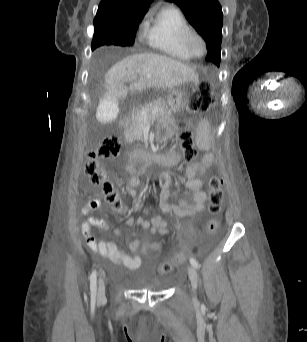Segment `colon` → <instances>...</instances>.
Returning a JSON list of instances; mask_svg holds the SVG:
<instances>
[{"label": "colon", "mask_w": 307, "mask_h": 342, "mask_svg": "<svg viewBox=\"0 0 307 342\" xmlns=\"http://www.w3.org/2000/svg\"><path fill=\"white\" fill-rule=\"evenodd\" d=\"M198 89L200 94H204L201 100H193L188 104V110L191 113L205 112L211 103L212 88L211 82H198ZM179 140L184 150L185 157L188 161L195 160L197 156V148L193 145L192 134L186 128L185 124L179 126ZM123 139L118 135H108L104 137L98 144L92 146L84 161L83 172L89 178L92 185L102 187L106 200L113 206L114 212L118 213L122 210V204L118 194L114 191V185L106 178L105 172L102 167V162L112 159L118 153ZM223 182L219 175H211L208 183V210L212 216L220 213L223 203ZM219 228V223L216 219H211L207 224V232L214 234ZM149 251H162L164 245L162 243L149 244L147 246ZM175 264L180 266L185 264L184 258L179 256L176 258ZM175 264L171 261L163 262L159 267L161 274L167 275L171 273Z\"/></svg>", "instance_id": "1"}]
</instances>
